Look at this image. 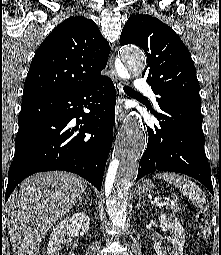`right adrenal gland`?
Wrapping results in <instances>:
<instances>
[{"instance_id": "2a0ac1e0", "label": "right adrenal gland", "mask_w": 221, "mask_h": 255, "mask_svg": "<svg viewBox=\"0 0 221 255\" xmlns=\"http://www.w3.org/2000/svg\"><path fill=\"white\" fill-rule=\"evenodd\" d=\"M89 200L90 201V196H89V192H85L84 196L80 199V202H82L83 200Z\"/></svg>"}]
</instances>
